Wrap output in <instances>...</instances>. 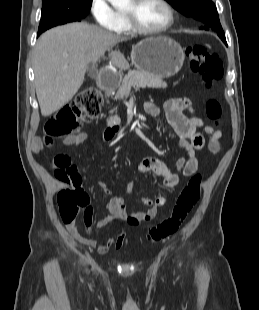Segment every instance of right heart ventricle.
Here are the masks:
<instances>
[{"mask_svg": "<svg viewBox=\"0 0 259 310\" xmlns=\"http://www.w3.org/2000/svg\"><path fill=\"white\" fill-rule=\"evenodd\" d=\"M119 16H120L121 24H120V28L117 30V32L123 33V34L130 33L131 30H130V28L128 26V23H127V20L125 18V15L123 13H119Z\"/></svg>", "mask_w": 259, "mask_h": 310, "instance_id": "right-heart-ventricle-1", "label": "right heart ventricle"}]
</instances>
